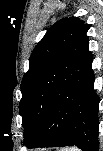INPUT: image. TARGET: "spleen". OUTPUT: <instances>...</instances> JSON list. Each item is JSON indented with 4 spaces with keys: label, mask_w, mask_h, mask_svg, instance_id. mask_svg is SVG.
Listing matches in <instances>:
<instances>
[{
    "label": "spleen",
    "mask_w": 103,
    "mask_h": 151,
    "mask_svg": "<svg viewBox=\"0 0 103 151\" xmlns=\"http://www.w3.org/2000/svg\"><path fill=\"white\" fill-rule=\"evenodd\" d=\"M61 151H80V150L76 147H70V148H64Z\"/></svg>",
    "instance_id": "3e777b00"
}]
</instances>
